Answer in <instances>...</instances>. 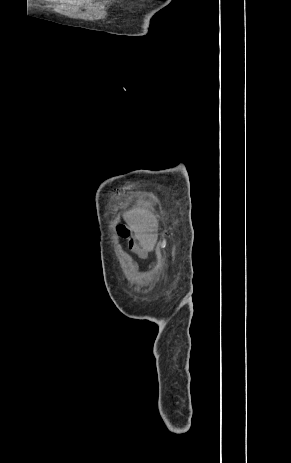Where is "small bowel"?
I'll list each match as a JSON object with an SVG mask.
<instances>
[{"label":"small bowel","instance_id":"small-bowel-1","mask_svg":"<svg viewBox=\"0 0 291 463\" xmlns=\"http://www.w3.org/2000/svg\"><path fill=\"white\" fill-rule=\"evenodd\" d=\"M123 238L128 239L130 249L136 253L140 258H146L148 249L146 246L140 245L135 238L130 237V234L123 236ZM134 267H138V265L133 262Z\"/></svg>","mask_w":291,"mask_h":463}]
</instances>
